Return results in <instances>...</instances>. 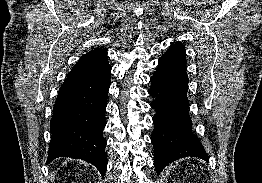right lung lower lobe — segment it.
Instances as JSON below:
<instances>
[{"instance_id": "obj_1", "label": "right lung lower lobe", "mask_w": 262, "mask_h": 183, "mask_svg": "<svg viewBox=\"0 0 262 183\" xmlns=\"http://www.w3.org/2000/svg\"><path fill=\"white\" fill-rule=\"evenodd\" d=\"M111 66L76 64L58 91L50 122L47 163L57 157L81 159L102 175L107 168L105 109Z\"/></svg>"}]
</instances>
